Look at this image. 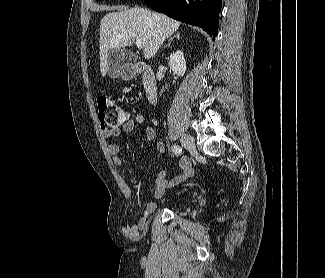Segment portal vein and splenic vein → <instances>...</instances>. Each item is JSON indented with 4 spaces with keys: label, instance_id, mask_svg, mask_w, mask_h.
Returning <instances> with one entry per match:
<instances>
[{
    "label": "portal vein and splenic vein",
    "instance_id": "18ae733b",
    "mask_svg": "<svg viewBox=\"0 0 325 278\" xmlns=\"http://www.w3.org/2000/svg\"><path fill=\"white\" fill-rule=\"evenodd\" d=\"M136 46H137L138 48H143V46H144V40H142V39H137V40H136Z\"/></svg>",
    "mask_w": 325,
    "mask_h": 278
}]
</instances>
